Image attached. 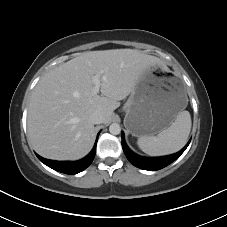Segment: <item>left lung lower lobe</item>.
Wrapping results in <instances>:
<instances>
[{
  "label": "left lung lower lobe",
  "instance_id": "left-lung-lower-lobe-1",
  "mask_svg": "<svg viewBox=\"0 0 227 227\" xmlns=\"http://www.w3.org/2000/svg\"><path fill=\"white\" fill-rule=\"evenodd\" d=\"M190 141L187 143V145L178 153L164 156V157H155V158H147V157H141L134 152H132L129 147L127 146L124 134L122 133V148L123 151L127 157V159L136 167L149 170V171H155L162 169L169 164H171L173 161H175L188 147Z\"/></svg>",
  "mask_w": 227,
  "mask_h": 227
}]
</instances>
